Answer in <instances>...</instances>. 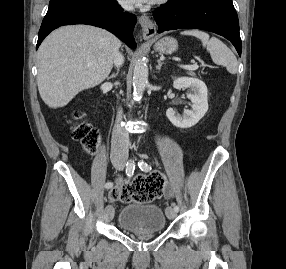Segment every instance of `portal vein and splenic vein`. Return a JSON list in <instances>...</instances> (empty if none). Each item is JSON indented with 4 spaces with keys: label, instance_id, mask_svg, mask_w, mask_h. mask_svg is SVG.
I'll list each match as a JSON object with an SVG mask.
<instances>
[{
    "label": "portal vein and splenic vein",
    "instance_id": "obj_1",
    "mask_svg": "<svg viewBox=\"0 0 286 269\" xmlns=\"http://www.w3.org/2000/svg\"><path fill=\"white\" fill-rule=\"evenodd\" d=\"M182 68L186 69V70H196L198 69V64H193V65H181Z\"/></svg>",
    "mask_w": 286,
    "mask_h": 269
}]
</instances>
